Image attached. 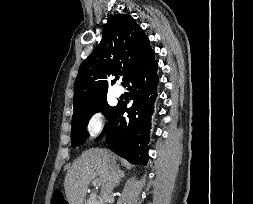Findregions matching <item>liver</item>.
Returning <instances> with one entry per match:
<instances>
[{"label": "liver", "mask_w": 253, "mask_h": 204, "mask_svg": "<svg viewBox=\"0 0 253 204\" xmlns=\"http://www.w3.org/2000/svg\"><path fill=\"white\" fill-rule=\"evenodd\" d=\"M117 156L107 149L92 148L72 164L64 180L69 204H83L88 185L97 177L104 183L110 167L116 169Z\"/></svg>", "instance_id": "obj_1"}]
</instances>
